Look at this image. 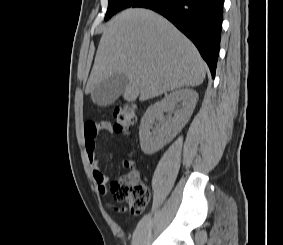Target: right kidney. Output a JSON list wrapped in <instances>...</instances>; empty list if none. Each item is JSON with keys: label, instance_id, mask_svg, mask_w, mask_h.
Returning a JSON list of instances; mask_svg holds the SVG:
<instances>
[{"label": "right kidney", "instance_id": "obj_1", "mask_svg": "<svg viewBox=\"0 0 283 245\" xmlns=\"http://www.w3.org/2000/svg\"><path fill=\"white\" fill-rule=\"evenodd\" d=\"M197 101V92L186 88L173 91L149 106L139 128L142 151L148 155L154 154L176 137L191 117ZM165 111L173 112L174 117L163 119ZM155 121L158 123L155 124Z\"/></svg>", "mask_w": 283, "mask_h": 245}]
</instances>
